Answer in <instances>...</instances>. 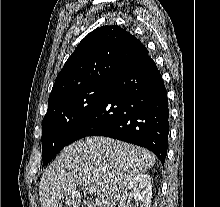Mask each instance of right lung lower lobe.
<instances>
[{
    "mask_svg": "<svg viewBox=\"0 0 220 207\" xmlns=\"http://www.w3.org/2000/svg\"><path fill=\"white\" fill-rule=\"evenodd\" d=\"M168 118L162 76L145 55L108 81L99 104L74 131L69 144L86 136L111 137L145 147L164 163Z\"/></svg>",
    "mask_w": 220,
    "mask_h": 207,
    "instance_id": "obj_1",
    "label": "right lung lower lobe"
}]
</instances>
